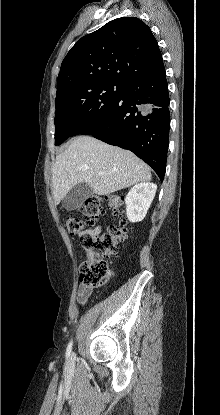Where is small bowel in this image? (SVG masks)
<instances>
[{
  "instance_id": "small-bowel-1",
  "label": "small bowel",
  "mask_w": 220,
  "mask_h": 415,
  "mask_svg": "<svg viewBox=\"0 0 220 415\" xmlns=\"http://www.w3.org/2000/svg\"><path fill=\"white\" fill-rule=\"evenodd\" d=\"M98 231H100V227H96L91 230H86L82 234H90V233H95ZM92 294H93V289L91 287H88L86 285H80L78 288L77 297H76L77 302L81 305L86 304L88 300L91 298Z\"/></svg>"
}]
</instances>
